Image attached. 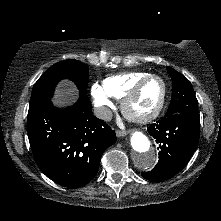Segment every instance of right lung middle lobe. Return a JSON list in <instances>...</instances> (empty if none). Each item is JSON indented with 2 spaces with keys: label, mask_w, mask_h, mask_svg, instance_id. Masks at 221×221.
<instances>
[{
  "label": "right lung middle lobe",
  "mask_w": 221,
  "mask_h": 221,
  "mask_svg": "<svg viewBox=\"0 0 221 221\" xmlns=\"http://www.w3.org/2000/svg\"><path fill=\"white\" fill-rule=\"evenodd\" d=\"M89 68L78 60H65L52 65L35 83L29 104L28 117L33 116L38 108L49 101L57 83L64 79L72 80L79 91L86 94L89 81Z\"/></svg>",
  "instance_id": "obj_1"
}]
</instances>
